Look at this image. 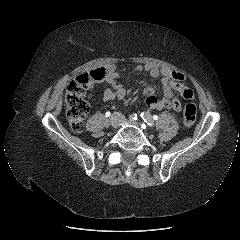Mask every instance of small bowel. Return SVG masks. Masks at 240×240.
I'll return each mask as SVG.
<instances>
[{"label": "small bowel", "mask_w": 240, "mask_h": 240, "mask_svg": "<svg viewBox=\"0 0 240 240\" xmlns=\"http://www.w3.org/2000/svg\"><path fill=\"white\" fill-rule=\"evenodd\" d=\"M105 82L109 84V88L101 95V100L104 102L120 100L125 94L122 84L119 82L121 75L117 72L115 64H108L105 66ZM136 72H147L152 77H161L162 83V97L156 96V89L154 87H146L143 90L146 105L153 110L172 109L181 111L182 105L180 101L174 97L173 91H177L186 100L195 99L193 91L184 85L182 82L185 77L182 73L168 69L160 68L155 64L147 63L139 65L135 68ZM91 84V86H93Z\"/></svg>", "instance_id": "1"}]
</instances>
